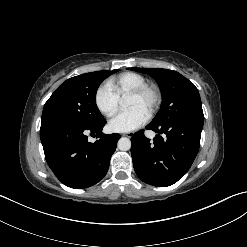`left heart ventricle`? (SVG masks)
I'll return each instance as SVG.
<instances>
[{"instance_id":"b2bd125f","label":"left heart ventricle","mask_w":247,"mask_h":247,"mask_svg":"<svg viewBox=\"0 0 247 247\" xmlns=\"http://www.w3.org/2000/svg\"><path fill=\"white\" fill-rule=\"evenodd\" d=\"M150 100H151L150 96H145L142 98L128 96L126 98V107L127 108L140 107L147 112L150 104Z\"/></svg>"}]
</instances>
